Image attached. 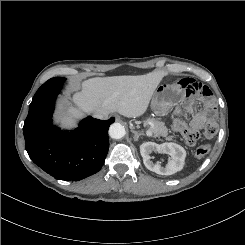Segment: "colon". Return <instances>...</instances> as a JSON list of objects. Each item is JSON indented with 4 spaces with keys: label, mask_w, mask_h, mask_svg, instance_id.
<instances>
[{
    "label": "colon",
    "mask_w": 245,
    "mask_h": 245,
    "mask_svg": "<svg viewBox=\"0 0 245 245\" xmlns=\"http://www.w3.org/2000/svg\"><path fill=\"white\" fill-rule=\"evenodd\" d=\"M173 127L175 130L179 131L182 133L183 137L185 138L186 142L190 145H194L197 143L199 139V133L192 129L189 128L182 120L176 119L174 121ZM218 131V126L215 122H208L204 128V134L206 137H213ZM210 151L209 145H200L196 149V156L198 158H202L205 155L208 154Z\"/></svg>",
    "instance_id": "5ec220e1"
}]
</instances>
